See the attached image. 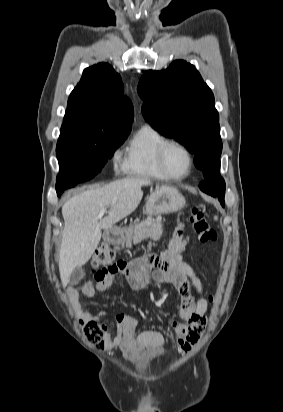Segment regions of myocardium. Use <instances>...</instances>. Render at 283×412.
<instances>
[{
    "label": "myocardium",
    "instance_id": "myocardium-1",
    "mask_svg": "<svg viewBox=\"0 0 283 412\" xmlns=\"http://www.w3.org/2000/svg\"><path fill=\"white\" fill-rule=\"evenodd\" d=\"M173 147H178V148L182 149L188 157L189 165H188L187 171L184 174H181V175L173 174L172 172H170L168 170V168L166 166L167 153H168L169 149H171ZM157 163H158V167H159L161 173L163 174V176L165 178L173 179V180H181V179H184L187 176H189L190 173L192 172L193 167H194V156H193V153L190 150V148L187 145H185L184 143H182L180 141H177V140H168L167 142H165L161 146V148L158 152Z\"/></svg>",
    "mask_w": 283,
    "mask_h": 412
}]
</instances>
